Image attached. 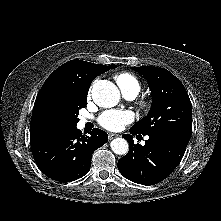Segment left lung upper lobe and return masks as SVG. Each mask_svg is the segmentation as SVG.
<instances>
[{"label": "left lung upper lobe", "instance_id": "1", "mask_svg": "<svg viewBox=\"0 0 221 221\" xmlns=\"http://www.w3.org/2000/svg\"><path fill=\"white\" fill-rule=\"evenodd\" d=\"M132 69L148 81L153 101L149 114L130 130L188 144L192 133V106L182 82L164 68L142 66Z\"/></svg>", "mask_w": 221, "mask_h": 221}]
</instances>
